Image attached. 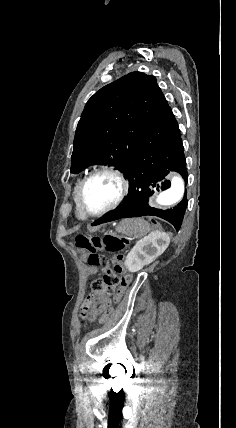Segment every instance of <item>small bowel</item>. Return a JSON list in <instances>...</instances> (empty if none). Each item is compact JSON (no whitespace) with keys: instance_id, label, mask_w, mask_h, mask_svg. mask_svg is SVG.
<instances>
[{"instance_id":"1","label":"small bowel","mask_w":236,"mask_h":428,"mask_svg":"<svg viewBox=\"0 0 236 428\" xmlns=\"http://www.w3.org/2000/svg\"><path fill=\"white\" fill-rule=\"evenodd\" d=\"M99 302L103 305V306H108L110 305V299L105 296V295H100L98 297Z\"/></svg>"}]
</instances>
